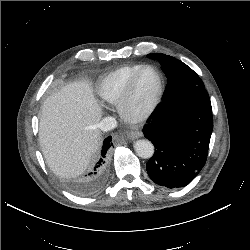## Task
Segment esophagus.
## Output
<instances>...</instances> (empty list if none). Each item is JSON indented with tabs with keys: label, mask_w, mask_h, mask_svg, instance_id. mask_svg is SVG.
<instances>
[{
	"label": "esophagus",
	"mask_w": 250,
	"mask_h": 250,
	"mask_svg": "<svg viewBox=\"0 0 250 250\" xmlns=\"http://www.w3.org/2000/svg\"><path fill=\"white\" fill-rule=\"evenodd\" d=\"M142 136V133L140 131H130L127 133V137L129 139H137Z\"/></svg>",
	"instance_id": "1"
}]
</instances>
